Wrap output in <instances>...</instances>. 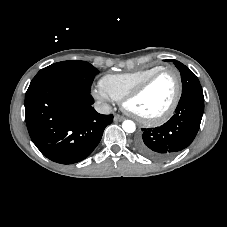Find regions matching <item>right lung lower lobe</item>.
<instances>
[{
	"label": "right lung lower lobe",
	"instance_id": "98d812e1",
	"mask_svg": "<svg viewBox=\"0 0 227 227\" xmlns=\"http://www.w3.org/2000/svg\"><path fill=\"white\" fill-rule=\"evenodd\" d=\"M88 91L69 83L51 81L28 88L25 120L30 137L41 153L61 164L88 157L101 140L113 115L92 107Z\"/></svg>",
	"mask_w": 227,
	"mask_h": 227
}]
</instances>
